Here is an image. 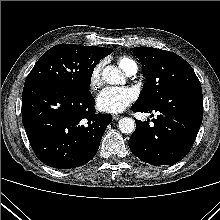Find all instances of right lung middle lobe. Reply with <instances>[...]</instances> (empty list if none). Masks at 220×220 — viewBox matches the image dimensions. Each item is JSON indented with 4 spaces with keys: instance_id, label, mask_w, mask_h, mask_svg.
Wrapping results in <instances>:
<instances>
[{
    "instance_id": "dd1d6c3e",
    "label": "right lung middle lobe",
    "mask_w": 220,
    "mask_h": 220,
    "mask_svg": "<svg viewBox=\"0 0 220 220\" xmlns=\"http://www.w3.org/2000/svg\"><path fill=\"white\" fill-rule=\"evenodd\" d=\"M102 58L93 46L58 44L36 62L24 86L46 84L88 92L93 70Z\"/></svg>"
}]
</instances>
